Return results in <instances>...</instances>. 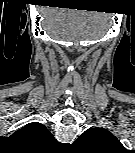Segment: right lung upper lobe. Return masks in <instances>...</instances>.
Listing matches in <instances>:
<instances>
[{"instance_id": "1", "label": "right lung upper lobe", "mask_w": 135, "mask_h": 153, "mask_svg": "<svg viewBox=\"0 0 135 153\" xmlns=\"http://www.w3.org/2000/svg\"><path fill=\"white\" fill-rule=\"evenodd\" d=\"M12 136L37 147H42L56 141L47 128L38 122H32L25 125Z\"/></svg>"}]
</instances>
